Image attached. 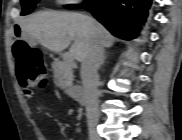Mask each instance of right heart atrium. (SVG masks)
<instances>
[{
	"instance_id": "obj_1",
	"label": "right heart atrium",
	"mask_w": 182,
	"mask_h": 140,
	"mask_svg": "<svg viewBox=\"0 0 182 140\" xmlns=\"http://www.w3.org/2000/svg\"><path fill=\"white\" fill-rule=\"evenodd\" d=\"M64 3H78V0H63Z\"/></svg>"
}]
</instances>
